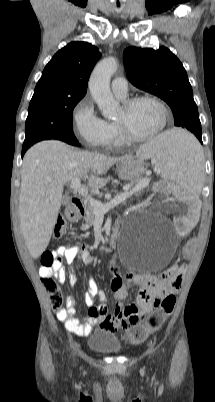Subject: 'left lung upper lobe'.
I'll list each match as a JSON object with an SVG mask.
<instances>
[{
	"instance_id": "5c2ea615",
	"label": "left lung upper lobe",
	"mask_w": 215,
	"mask_h": 402,
	"mask_svg": "<svg viewBox=\"0 0 215 402\" xmlns=\"http://www.w3.org/2000/svg\"><path fill=\"white\" fill-rule=\"evenodd\" d=\"M123 60L129 81L163 99L172 109L175 126L201 137V123L192 87L180 60L166 47H129Z\"/></svg>"
}]
</instances>
